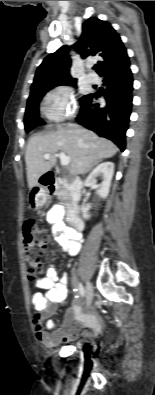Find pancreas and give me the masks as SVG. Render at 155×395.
<instances>
[{
  "instance_id": "cf45deb5",
  "label": "pancreas",
  "mask_w": 155,
  "mask_h": 395,
  "mask_svg": "<svg viewBox=\"0 0 155 395\" xmlns=\"http://www.w3.org/2000/svg\"><path fill=\"white\" fill-rule=\"evenodd\" d=\"M56 195L59 200L64 201L68 198V191L65 188L59 189L56 191Z\"/></svg>"
}]
</instances>
